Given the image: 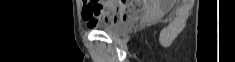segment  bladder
Listing matches in <instances>:
<instances>
[{
	"label": "bladder",
	"mask_w": 235,
	"mask_h": 62,
	"mask_svg": "<svg viewBox=\"0 0 235 62\" xmlns=\"http://www.w3.org/2000/svg\"><path fill=\"white\" fill-rule=\"evenodd\" d=\"M137 15L132 14L126 19L115 22L104 24L100 27V30L110 36H118L127 33L136 23Z\"/></svg>",
	"instance_id": "31cf9c89"
}]
</instances>
